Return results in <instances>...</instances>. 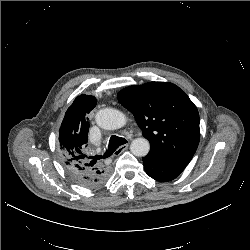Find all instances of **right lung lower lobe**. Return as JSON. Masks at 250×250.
I'll return each instance as SVG.
<instances>
[{
  "label": "right lung lower lobe",
  "instance_id": "right-lung-lower-lobe-1",
  "mask_svg": "<svg viewBox=\"0 0 250 250\" xmlns=\"http://www.w3.org/2000/svg\"><path fill=\"white\" fill-rule=\"evenodd\" d=\"M74 181L87 188H93L102 185L109 177L110 172H104L96 174L92 171H75L71 169H66Z\"/></svg>",
  "mask_w": 250,
  "mask_h": 250
}]
</instances>
